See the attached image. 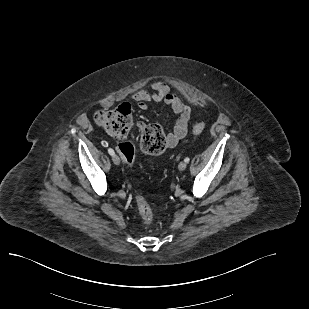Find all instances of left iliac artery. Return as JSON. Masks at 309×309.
Returning a JSON list of instances; mask_svg holds the SVG:
<instances>
[{
	"label": "left iliac artery",
	"instance_id": "1",
	"mask_svg": "<svg viewBox=\"0 0 309 309\" xmlns=\"http://www.w3.org/2000/svg\"><path fill=\"white\" fill-rule=\"evenodd\" d=\"M184 161H185L186 163H189L190 158H189V157H186V158L184 159Z\"/></svg>",
	"mask_w": 309,
	"mask_h": 309
}]
</instances>
